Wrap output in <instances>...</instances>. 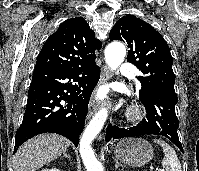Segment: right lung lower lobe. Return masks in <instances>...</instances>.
Segmentation results:
<instances>
[{
  "mask_svg": "<svg viewBox=\"0 0 199 171\" xmlns=\"http://www.w3.org/2000/svg\"><path fill=\"white\" fill-rule=\"evenodd\" d=\"M99 78L100 68L95 60L78 67L34 70L14 153L26 140L47 132L63 135L77 147L89 99Z\"/></svg>",
  "mask_w": 199,
  "mask_h": 171,
  "instance_id": "right-lung-lower-lobe-1",
  "label": "right lung lower lobe"
}]
</instances>
